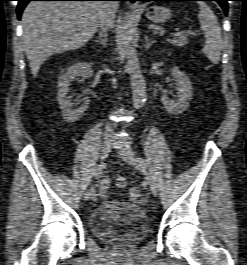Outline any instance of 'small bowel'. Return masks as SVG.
<instances>
[{"mask_svg": "<svg viewBox=\"0 0 247 265\" xmlns=\"http://www.w3.org/2000/svg\"><path fill=\"white\" fill-rule=\"evenodd\" d=\"M109 179L103 178L100 185V195L102 197H108L109 196ZM127 199L128 201L132 203H138V204H144L147 201L146 196L141 192V189L137 186L131 187L128 190L127 193Z\"/></svg>", "mask_w": 247, "mask_h": 265, "instance_id": "1", "label": "small bowel"}]
</instances>
